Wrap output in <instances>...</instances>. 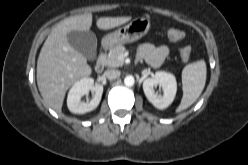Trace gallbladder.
Instances as JSON below:
<instances>
[{
	"label": "gallbladder",
	"instance_id": "bac80fb5",
	"mask_svg": "<svg viewBox=\"0 0 248 165\" xmlns=\"http://www.w3.org/2000/svg\"><path fill=\"white\" fill-rule=\"evenodd\" d=\"M68 43L88 60H95L97 38L92 31L72 30L67 34Z\"/></svg>",
	"mask_w": 248,
	"mask_h": 165
}]
</instances>
